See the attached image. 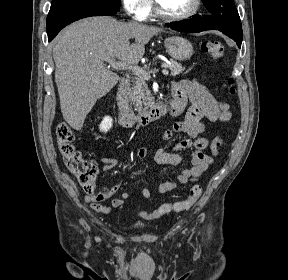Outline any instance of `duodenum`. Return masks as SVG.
Returning <instances> with one entry per match:
<instances>
[{"label":"duodenum","mask_w":288,"mask_h":280,"mask_svg":"<svg viewBox=\"0 0 288 280\" xmlns=\"http://www.w3.org/2000/svg\"><path fill=\"white\" fill-rule=\"evenodd\" d=\"M117 100L119 105V121L124 128L147 126L167 114H176L182 106L180 102L173 99L171 101L164 100L143 112L135 114L131 107L130 81L126 77L120 80Z\"/></svg>","instance_id":"obj_1"}]
</instances>
